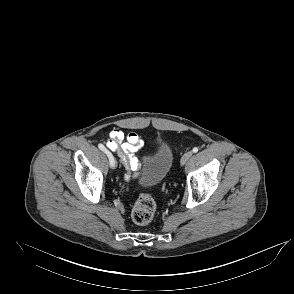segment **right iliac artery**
I'll return each instance as SVG.
<instances>
[{
	"mask_svg": "<svg viewBox=\"0 0 294 294\" xmlns=\"http://www.w3.org/2000/svg\"><path fill=\"white\" fill-rule=\"evenodd\" d=\"M99 149L102 150L109 158L110 166H113L115 164V159L111 152L106 149V147L103 144L98 145Z\"/></svg>",
	"mask_w": 294,
	"mask_h": 294,
	"instance_id": "obj_1",
	"label": "right iliac artery"
}]
</instances>
